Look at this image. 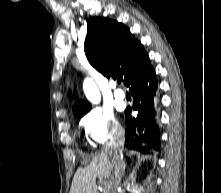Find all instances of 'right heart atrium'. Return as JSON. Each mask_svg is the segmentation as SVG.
<instances>
[{
    "mask_svg": "<svg viewBox=\"0 0 221 193\" xmlns=\"http://www.w3.org/2000/svg\"><path fill=\"white\" fill-rule=\"evenodd\" d=\"M87 139L94 146H104L123 135V127L115 114L106 109L94 108L82 119Z\"/></svg>",
    "mask_w": 221,
    "mask_h": 193,
    "instance_id": "1",
    "label": "right heart atrium"
}]
</instances>
